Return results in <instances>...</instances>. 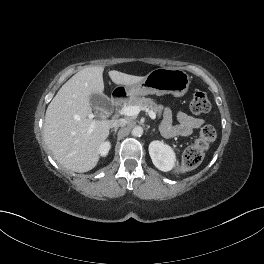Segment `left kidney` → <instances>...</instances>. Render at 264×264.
<instances>
[{"label":"left kidney","instance_id":"5707ae66","mask_svg":"<svg viewBox=\"0 0 264 264\" xmlns=\"http://www.w3.org/2000/svg\"><path fill=\"white\" fill-rule=\"evenodd\" d=\"M149 155L156 168L161 171H170L176 163L173 149L163 141H152L149 145Z\"/></svg>","mask_w":264,"mask_h":264}]
</instances>
